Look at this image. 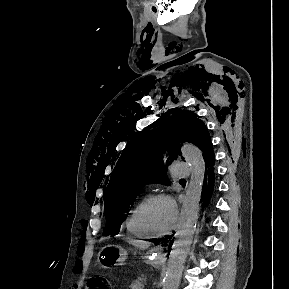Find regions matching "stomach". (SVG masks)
Instances as JSON below:
<instances>
[{
    "label": "stomach",
    "instance_id": "0dacf381",
    "mask_svg": "<svg viewBox=\"0 0 289 289\" xmlns=\"http://www.w3.org/2000/svg\"><path fill=\"white\" fill-rule=\"evenodd\" d=\"M128 252L118 245L104 246L99 254L98 261L103 268L123 263L127 259ZM152 262V261H151Z\"/></svg>",
    "mask_w": 289,
    "mask_h": 289
}]
</instances>
